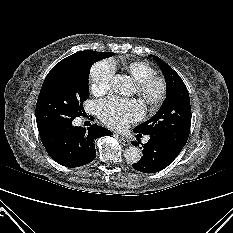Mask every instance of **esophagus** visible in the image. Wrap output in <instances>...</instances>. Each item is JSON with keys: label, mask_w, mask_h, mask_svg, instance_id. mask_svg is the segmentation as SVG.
Instances as JSON below:
<instances>
[{"label": "esophagus", "mask_w": 233, "mask_h": 233, "mask_svg": "<svg viewBox=\"0 0 233 233\" xmlns=\"http://www.w3.org/2000/svg\"><path fill=\"white\" fill-rule=\"evenodd\" d=\"M119 141L121 144H123L124 146H129L130 145V140H128L125 137L119 136Z\"/></svg>", "instance_id": "34e87169"}]
</instances>
